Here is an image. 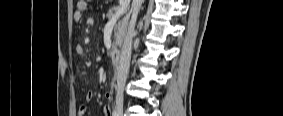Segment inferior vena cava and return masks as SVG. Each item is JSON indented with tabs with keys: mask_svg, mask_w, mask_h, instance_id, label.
Masks as SVG:
<instances>
[{
	"mask_svg": "<svg viewBox=\"0 0 283 116\" xmlns=\"http://www.w3.org/2000/svg\"><path fill=\"white\" fill-rule=\"evenodd\" d=\"M142 2L143 0L132 1V7H131L132 16L128 25V30L124 37L119 65L117 67V73H116V78H117L116 103L123 102V89L129 72L134 27Z\"/></svg>",
	"mask_w": 283,
	"mask_h": 116,
	"instance_id": "inferior-vena-cava-1",
	"label": "inferior vena cava"
}]
</instances>
